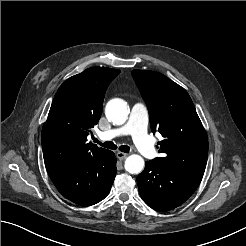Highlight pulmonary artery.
I'll list each match as a JSON object with an SVG mask.
<instances>
[{
    "mask_svg": "<svg viewBox=\"0 0 246 246\" xmlns=\"http://www.w3.org/2000/svg\"><path fill=\"white\" fill-rule=\"evenodd\" d=\"M148 123L149 114L146 106L142 103H136L132 107L125 125L101 132L98 136L102 140H112L119 136L130 135L142 155L153 158L156 151L147 134Z\"/></svg>",
    "mask_w": 246,
    "mask_h": 246,
    "instance_id": "pulmonary-artery-1",
    "label": "pulmonary artery"
}]
</instances>
